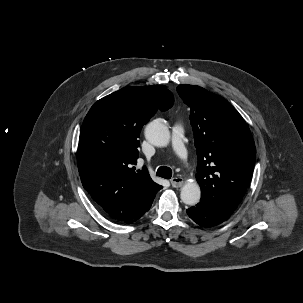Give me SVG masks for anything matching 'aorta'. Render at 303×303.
<instances>
[{"instance_id":"aorta-1","label":"aorta","mask_w":303,"mask_h":303,"mask_svg":"<svg viewBox=\"0 0 303 303\" xmlns=\"http://www.w3.org/2000/svg\"><path fill=\"white\" fill-rule=\"evenodd\" d=\"M145 137L151 144L164 147L170 141V131L165 124L155 120L146 126ZM180 197L182 202L187 205L197 204L201 197L199 185L193 180L187 181L181 188Z\"/></svg>"}]
</instances>
